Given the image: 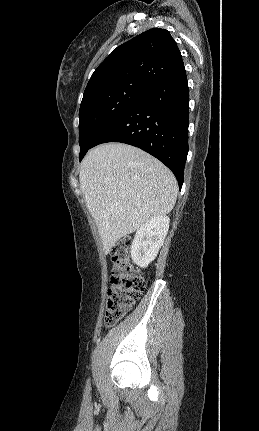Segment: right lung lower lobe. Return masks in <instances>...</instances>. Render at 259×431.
<instances>
[{
  "mask_svg": "<svg viewBox=\"0 0 259 431\" xmlns=\"http://www.w3.org/2000/svg\"><path fill=\"white\" fill-rule=\"evenodd\" d=\"M188 110L184 71L149 88L97 137L92 147L122 142L141 148L164 163L181 188L188 154Z\"/></svg>",
  "mask_w": 259,
  "mask_h": 431,
  "instance_id": "98d812e1",
  "label": "right lung lower lobe"
}]
</instances>
